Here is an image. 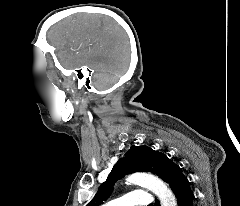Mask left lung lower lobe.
<instances>
[{
	"mask_svg": "<svg viewBox=\"0 0 240 206\" xmlns=\"http://www.w3.org/2000/svg\"><path fill=\"white\" fill-rule=\"evenodd\" d=\"M165 182L169 184L174 192L178 206H193L194 194L190 188V183L182 173L181 168L175 163L167 171ZM155 206H160L159 202H156Z\"/></svg>",
	"mask_w": 240,
	"mask_h": 206,
	"instance_id": "0a47b994",
	"label": "left lung lower lobe"
}]
</instances>
